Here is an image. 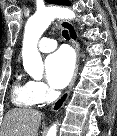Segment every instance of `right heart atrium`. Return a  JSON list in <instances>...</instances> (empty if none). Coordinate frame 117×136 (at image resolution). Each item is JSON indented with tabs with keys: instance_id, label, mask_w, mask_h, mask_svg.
Segmentation results:
<instances>
[{
	"instance_id": "right-heart-atrium-1",
	"label": "right heart atrium",
	"mask_w": 117,
	"mask_h": 136,
	"mask_svg": "<svg viewBox=\"0 0 117 136\" xmlns=\"http://www.w3.org/2000/svg\"><path fill=\"white\" fill-rule=\"evenodd\" d=\"M32 84L38 102L44 103L48 101V99L51 97V90L46 86V84L40 81H34Z\"/></svg>"
}]
</instances>
